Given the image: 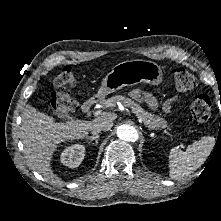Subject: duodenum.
Masks as SVG:
<instances>
[{
	"label": "duodenum",
	"instance_id": "1",
	"mask_svg": "<svg viewBox=\"0 0 221 221\" xmlns=\"http://www.w3.org/2000/svg\"><path fill=\"white\" fill-rule=\"evenodd\" d=\"M96 102H97L96 98H90L86 100L81 106V112L88 113L94 107Z\"/></svg>",
	"mask_w": 221,
	"mask_h": 221
}]
</instances>
